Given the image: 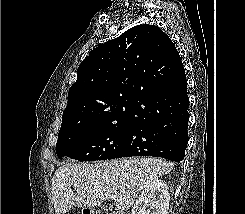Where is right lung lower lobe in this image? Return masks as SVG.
<instances>
[{
    "label": "right lung lower lobe",
    "instance_id": "right-lung-lower-lobe-1",
    "mask_svg": "<svg viewBox=\"0 0 245 214\" xmlns=\"http://www.w3.org/2000/svg\"><path fill=\"white\" fill-rule=\"evenodd\" d=\"M175 62L179 72L169 87L155 93L135 112L125 145L116 158L156 156L175 162L183 160L188 143L189 98L179 53Z\"/></svg>",
    "mask_w": 245,
    "mask_h": 214
}]
</instances>
